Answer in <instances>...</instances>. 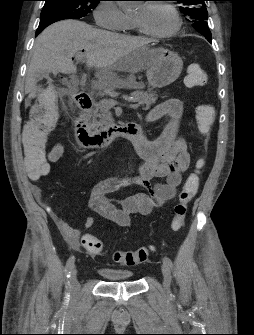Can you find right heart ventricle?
Segmentation results:
<instances>
[{"label": "right heart ventricle", "mask_w": 254, "mask_h": 335, "mask_svg": "<svg viewBox=\"0 0 254 335\" xmlns=\"http://www.w3.org/2000/svg\"><path fill=\"white\" fill-rule=\"evenodd\" d=\"M135 28V24L133 22H131L130 26L128 29H134Z\"/></svg>", "instance_id": "right-heart-ventricle-1"}]
</instances>
